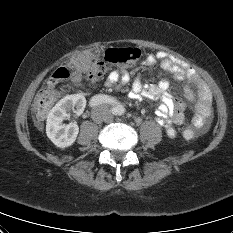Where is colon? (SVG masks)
Returning a JSON list of instances; mask_svg holds the SVG:
<instances>
[{
	"instance_id": "colon-1",
	"label": "colon",
	"mask_w": 233,
	"mask_h": 233,
	"mask_svg": "<svg viewBox=\"0 0 233 233\" xmlns=\"http://www.w3.org/2000/svg\"><path fill=\"white\" fill-rule=\"evenodd\" d=\"M141 51L138 48H111L105 52L104 61L92 62L86 70V77L90 81L100 80L106 73V63L115 66H130L140 58ZM72 67L68 64L62 65L54 71L49 78L47 85L42 88L34 101V112L38 118H43L58 100L64 88L60 85L65 81L71 72ZM202 131L195 127L188 126L183 130V137L193 139Z\"/></svg>"
}]
</instances>
